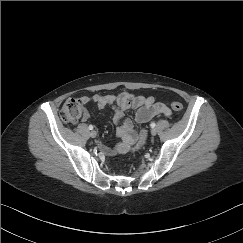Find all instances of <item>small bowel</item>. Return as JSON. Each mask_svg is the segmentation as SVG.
<instances>
[{"label": "small bowel", "instance_id": "c3829d8e", "mask_svg": "<svg viewBox=\"0 0 243 243\" xmlns=\"http://www.w3.org/2000/svg\"><path fill=\"white\" fill-rule=\"evenodd\" d=\"M83 104H95L99 108L113 109V120L119 124L117 137L120 142L113 147L100 145V150L106 155L124 154L129 150L141 148L144 137L134 130L132 119L127 116L130 109H136L135 122L143 124L157 115L169 117L170 109L163 103L156 102L152 96H142L135 93L120 92L118 94H94L81 97ZM90 119L88 110H84L82 120Z\"/></svg>", "mask_w": 243, "mask_h": 243}]
</instances>
